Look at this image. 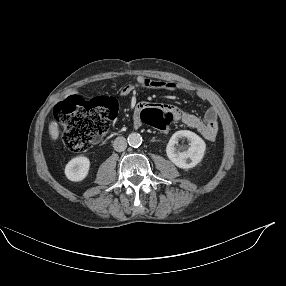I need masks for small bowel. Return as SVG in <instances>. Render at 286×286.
I'll return each instance as SVG.
<instances>
[{
	"label": "small bowel",
	"mask_w": 286,
	"mask_h": 286,
	"mask_svg": "<svg viewBox=\"0 0 286 286\" xmlns=\"http://www.w3.org/2000/svg\"><path fill=\"white\" fill-rule=\"evenodd\" d=\"M150 88L155 90H168V91H192L191 88L181 84L149 79L143 76H137L134 83L127 84L122 87L121 92L123 95H130L138 88ZM197 96L201 100H207V95L201 91L197 92ZM162 109L168 112L173 117V120H181L186 126L196 130L204 139L208 141H215L218 134L219 123L218 113L215 107L210 106L201 119L193 114L181 112L175 107L170 106L167 100H140L138 106L132 109L134 116H139L145 110Z\"/></svg>",
	"instance_id": "small-bowel-1"
}]
</instances>
